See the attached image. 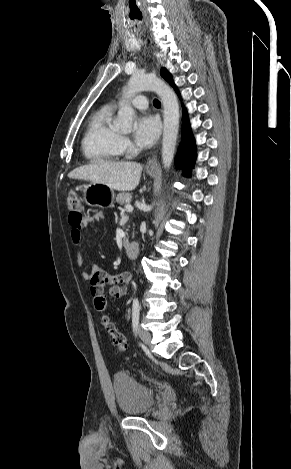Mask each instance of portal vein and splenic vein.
I'll return each mask as SVG.
<instances>
[{"label": "portal vein and splenic vein", "instance_id": "portal-vein-and-splenic-vein-1", "mask_svg": "<svg viewBox=\"0 0 291 469\" xmlns=\"http://www.w3.org/2000/svg\"><path fill=\"white\" fill-rule=\"evenodd\" d=\"M125 210L132 211L133 207L130 204L125 205Z\"/></svg>", "mask_w": 291, "mask_h": 469}]
</instances>
